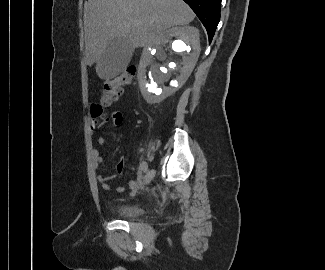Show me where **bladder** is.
Returning a JSON list of instances; mask_svg holds the SVG:
<instances>
[{
  "label": "bladder",
  "mask_w": 325,
  "mask_h": 270,
  "mask_svg": "<svg viewBox=\"0 0 325 270\" xmlns=\"http://www.w3.org/2000/svg\"><path fill=\"white\" fill-rule=\"evenodd\" d=\"M115 211L122 217H137L143 214V207L139 204L121 203L115 206Z\"/></svg>",
  "instance_id": "31cf9c89"
}]
</instances>
